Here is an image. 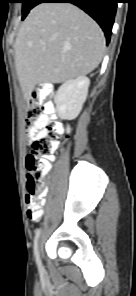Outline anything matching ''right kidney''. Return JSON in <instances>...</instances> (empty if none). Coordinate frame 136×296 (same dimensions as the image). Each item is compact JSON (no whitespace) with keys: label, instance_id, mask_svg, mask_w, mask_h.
Wrapping results in <instances>:
<instances>
[{"label":"right kidney","instance_id":"1","mask_svg":"<svg viewBox=\"0 0 136 296\" xmlns=\"http://www.w3.org/2000/svg\"><path fill=\"white\" fill-rule=\"evenodd\" d=\"M90 80L86 76H79L63 83L55 97L56 111L61 119H75L82 109L88 94Z\"/></svg>","mask_w":136,"mask_h":296}]
</instances>
